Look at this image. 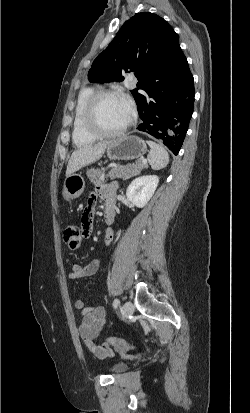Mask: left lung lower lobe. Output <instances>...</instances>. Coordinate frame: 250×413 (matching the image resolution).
Returning a JSON list of instances; mask_svg holds the SVG:
<instances>
[{
  "label": "left lung lower lobe",
  "instance_id": "0a47b994",
  "mask_svg": "<svg viewBox=\"0 0 250 413\" xmlns=\"http://www.w3.org/2000/svg\"><path fill=\"white\" fill-rule=\"evenodd\" d=\"M160 40V69L140 86L135 98L143 123L138 130L153 135L177 155L193 113L194 80L178 42Z\"/></svg>",
  "mask_w": 250,
  "mask_h": 413
}]
</instances>
